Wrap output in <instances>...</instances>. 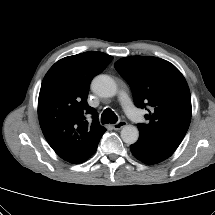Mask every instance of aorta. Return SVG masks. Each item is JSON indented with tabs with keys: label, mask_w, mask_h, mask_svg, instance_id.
Instances as JSON below:
<instances>
[{
	"label": "aorta",
	"mask_w": 215,
	"mask_h": 215,
	"mask_svg": "<svg viewBox=\"0 0 215 215\" xmlns=\"http://www.w3.org/2000/svg\"><path fill=\"white\" fill-rule=\"evenodd\" d=\"M91 90L98 96L110 98L117 94V84L108 75H98L91 83ZM139 137V131L136 126L125 125L121 130V138L127 144H134Z\"/></svg>",
	"instance_id": "obj_1"
}]
</instances>
